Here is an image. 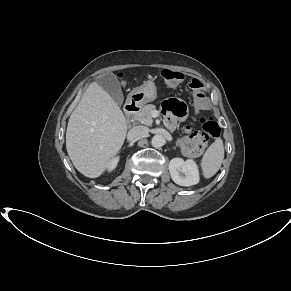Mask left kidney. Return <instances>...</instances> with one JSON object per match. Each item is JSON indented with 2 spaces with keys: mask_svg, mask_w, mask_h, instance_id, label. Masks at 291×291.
<instances>
[{
  "mask_svg": "<svg viewBox=\"0 0 291 291\" xmlns=\"http://www.w3.org/2000/svg\"><path fill=\"white\" fill-rule=\"evenodd\" d=\"M169 172L172 180L180 186L188 187L199 182V169L193 159L173 158L169 162Z\"/></svg>",
  "mask_w": 291,
  "mask_h": 291,
  "instance_id": "left-kidney-1",
  "label": "left kidney"
}]
</instances>
